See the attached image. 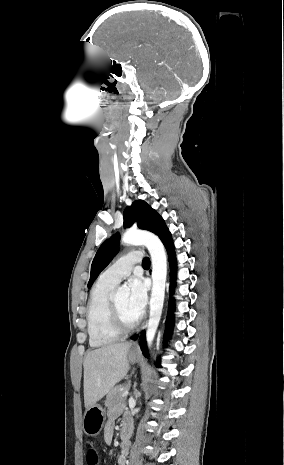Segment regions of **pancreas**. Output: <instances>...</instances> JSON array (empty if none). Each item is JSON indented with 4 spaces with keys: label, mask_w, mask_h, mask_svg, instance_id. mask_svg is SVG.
Wrapping results in <instances>:
<instances>
[{
    "label": "pancreas",
    "mask_w": 284,
    "mask_h": 465,
    "mask_svg": "<svg viewBox=\"0 0 284 465\" xmlns=\"http://www.w3.org/2000/svg\"><path fill=\"white\" fill-rule=\"evenodd\" d=\"M129 387V383L128 385H118V387H113L106 397L105 407H107V409H111V407L117 405L119 401H122L121 395L124 391H128Z\"/></svg>",
    "instance_id": "obj_1"
}]
</instances>
